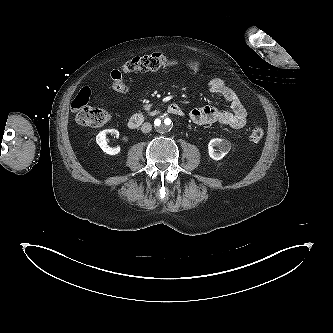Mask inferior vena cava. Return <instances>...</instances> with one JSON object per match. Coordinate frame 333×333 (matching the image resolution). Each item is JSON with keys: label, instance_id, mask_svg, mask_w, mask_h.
Masks as SVG:
<instances>
[{"label": "inferior vena cava", "instance_id": "obj_1", "mask_svg": "<svg viewBox=\"0 0 333 333\" xmlns=\"http://www.w3.org/2000/svg\"><path fill=\"white\" fill-rule=\"evenodd\" d=\"M152 130V125L148 122H145L141 126V131L143 133H149Z\"/></svg>", "mask_w": 333, "mask_h": 333}]
</instances>
